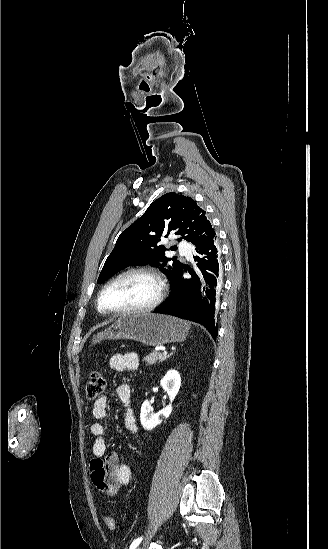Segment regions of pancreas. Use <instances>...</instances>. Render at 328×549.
Segmentation results:
<instances>
[{
  "instance_id": "1",
  "label": "pancreas",
  "mask_w": 328,
  "mask_h": 549,
  "mask_svg": "<svg viewBox=\"0 0 328 549\" xmlns=\"http://www.w3.org/2000/svg\"><path fill=\"white\" fill-rule=\"evenodd\" d=\"M165 359H168L166 355H162V353H157V351H152V353H149L147 357H144L143 361L147 363V365H154V363H162V361H165Z\"/></svg>"
}]
</instances>
